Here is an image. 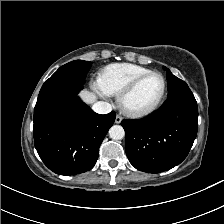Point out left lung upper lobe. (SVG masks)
<instances>
[{
    "label": "left lung upper lobe",
    "mask_w": 224,
    "mask_h": 224,
    "mask_svg": "<svg viewBox=\"0 0 224 224\" xmlns=\"http://www.w3.org/2000/svg\"><path fill=\"white\" fill-rule=\"evenodd\" d=\"M167 72V80H168V95L172 94L182 88L188 87V85L181 79L174 76L169 69L163 67Z\"/></svg>",
    "instance_id": "1"
}]
</instances>
